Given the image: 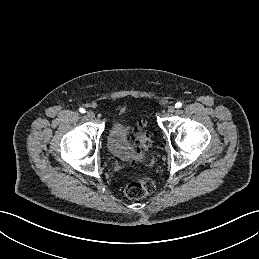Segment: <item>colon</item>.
<instances>
[{
	"label": "colon",
	"mask_w": 259,
	"mask_h": 259,
	"mask_svg": "<svg viewBox=\"0 0 259 259\" xmlns=\"http://www.w3.org/2000/svg\"><path fill=\"white\" fill-rule=\"evenodd\" d=\"M143 130L141 131L136 144L139 151L147 154L152 145V140L149 133L145 130L146 122L141 124ZM154 182L147 177L135 178L126 186L124 193L128 198L140 199L150 195L154 191Z\"/></svg>",
	"instance_id": "5ec220e1"
}]
</instances>
